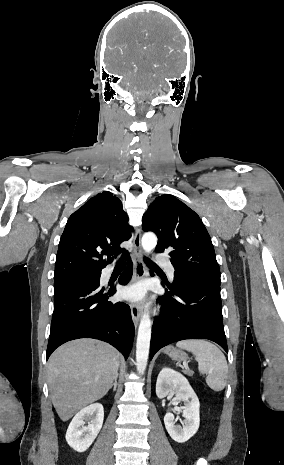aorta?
I'll return each instance as SVG.
<instances>
[{"label": "aorta", "instance_id": "aorta-1", "mask_svg": "<svg viewBox=\"0 0 284 465\" xmlns=\"http://www.w3.org/2000/svg\"><path fill=\"white\" fill-rule=\"evenodd\" d=\"M141 244L146 253H150L157 245V237L154 233H145L142 237ZM151 319L146 306L142 314L138 329L137 344H136V366L139 374H144L150 347L151 339Z\"/></svg>", "mask_w": 284, "mask_h": 465}]
</instances>
